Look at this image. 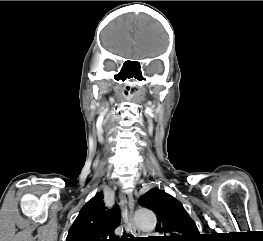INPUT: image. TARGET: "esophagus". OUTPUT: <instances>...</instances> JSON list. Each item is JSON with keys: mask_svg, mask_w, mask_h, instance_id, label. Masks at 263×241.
<instances>
[{"mask_svg": "<svg viewBox=\"0 0 263 241\" xmlns=\"http://www.w3.org/2000/svg\"><path fill=\"white\" fill-rule=\"evenodd\" d=\"M120 201L123 210L124 221L129 225L134 235H139L140 230L135 226L133 220L134 200L133 197L122 190L120 193Z\"/></svg>", "mask_w": 263, "mask_h": 241, "instance_id": "1", "label": "esophagus"}]
</instances>
